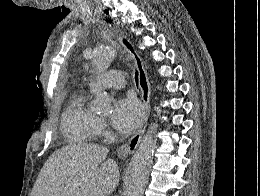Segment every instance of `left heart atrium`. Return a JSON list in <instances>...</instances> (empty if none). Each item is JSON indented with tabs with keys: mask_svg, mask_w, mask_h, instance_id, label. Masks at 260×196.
I'll list each match as a JSON object with an SVG mask.
<instances>
[{
	"mask_svg": "<svg viewBox=\"0 0 260 196\" xmlns=\"http://www.w3.org/2000/svg\"><path fill=\"white\" fill-rule=\"evenodd\" d=\"M143 114V107L137 99L122 97L114 103L110 123L120 133L129 134L139 126Z\"/></svg>",
	"mask_w": 260,
	"mask_h": 196,
	"instance_id": "obj_1",
	"label": "left heart atrium"
}]
</instances>
